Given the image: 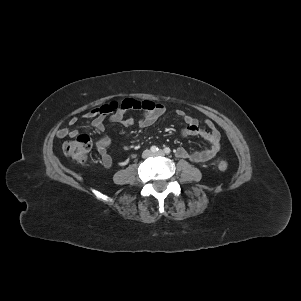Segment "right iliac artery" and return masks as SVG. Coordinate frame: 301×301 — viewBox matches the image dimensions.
Wrapping results in <instances>:
<instances>
[{
  "instance_id": "obj_1",
  "label": "right iliac artery",
  "mask_w": 301,
  "mask_h": 301,
  "mask_svg": "<svg viewBox=\"0 0 301 301\" xmlns=\"http://www.w3.org/2000/svg\"><path fill=\"white\" fill-rule=\"evenodd\" d=\"M151 151H152L153 153L157 152V151H158V147L152 146V147H151Z\"/></svg>"
}]
</instances>
